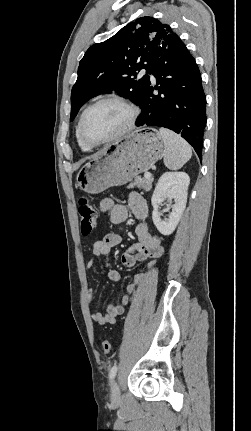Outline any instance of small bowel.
<instances>
[{"mask_svg": "<svg viewBox=\"0 0 251 431\" xmlns=\"http://www.w3.org/2000/svg\"><path fill=\"white\" fill-rule=\"evenodd\" d=\"M99 210L102 214H108L112 223H121L126 220L129 210L137 219L138 224L135 232L138 241L132 244L123 254L122 263L126 267H133L138 262L148 261L147 266L151 268L157 259L163 256L164 247L161 239L150 233L146 218L148 216V206L145 199L138 193L132 192L128 196L127 206L115 202L113 199L105 198L99 203ZM122 238L116 233H105L102 238L92 244V256L88 259L87 268H92L98 257L107 256L110 249L119 245ZM108 277L114 282L121 280L120 273L111 267L109 261H105ZM146 273L135 275L133 283L127 285V292L132 294L137 287L145 280ZM88 302H93V290L87 292ZM130 295H124L120 304H110L106 313L94 312L91 315L93 321L100 325L114 324L116 319L124 313L125 306L130 303Z\"/></svg>", "mask_w": 251, "mask_h": 431, "instance_id": "obj_1", "label": "small bowel"}]
</instances>
